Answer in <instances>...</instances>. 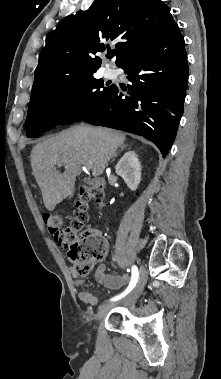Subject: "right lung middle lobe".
Returning a JSON list of instances; mask_svg holds the SVG:
<instances>
[{"mask_svg":"<svg viewBox=\"0 0 221 379\" xmlns=\"http://www.w3.org/2000/svg\"><path fill=\"white\" fill-rule=\"evenodd\" d=\"M93 74L56 81L31 98L26 136L39 137L58 124H71L89 113L112 88Z\"/></svg>","mask_w":221,"mask_h":379,"instance_id":"right-lung-middle-lobe-1","label":"right lung middle lobe"}]
</instances>
